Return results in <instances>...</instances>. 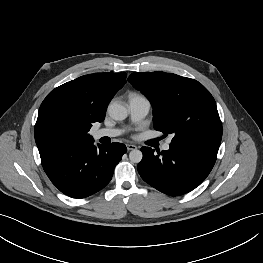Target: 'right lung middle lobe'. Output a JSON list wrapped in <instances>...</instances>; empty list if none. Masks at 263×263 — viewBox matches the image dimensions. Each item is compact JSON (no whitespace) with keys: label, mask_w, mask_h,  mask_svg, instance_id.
I'll use <instances>...</instances> for the list:
<instances>
[{"label":"right lung middle lobe","mask_w":263,"mask_h":263,"mask_svg":"<svg viewBox=\"0 0 263 263\" xmlns=\"http://www.w3.org/2000/svg\"><path fill=\"white\" fill-rule=\"evenodd\" d=\"M84 140L81 135L73 132H61L59 134V142L66 147L82 143Z\"/></svg>","instance_id":"1"}]
</instances>
